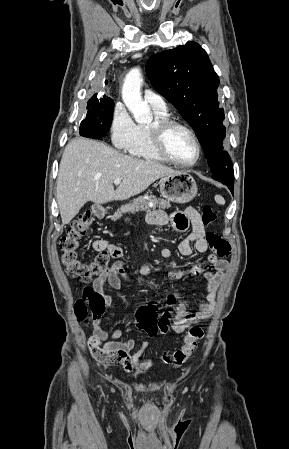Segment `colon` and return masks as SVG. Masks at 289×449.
<instances>
[{"label":"colon","mask_w":289,"mask_h":449,"mask_svg":"<svg viewBox=\"0 0 289 449\" xmlns=\"http://www.w3.org/2000/svg\"><path fill=\"white\" fill-rule=\"evenodd\" d=\"M201 218L205 225H210L216 220V213L209 205L201 209ZM94 219L92 211L82 213L73 220L67 233L60 240L61 259L66 273L80 281H90L109 267L110 255L106 251L98 252L90 261L80 259L78 248L79 240L84 236ZM206 240L212 251L211 256L217 258L228 257L231 253L229 242L215 232H209ZM104 298L87 288L83 297L75 304V314L80 321L89 322L90 318H98L105 310ZM137 327L148 336L158 334L166 335L170 331V315L168 312L160 317L153 306L141 309L137 315ZM204 331L198 326H191L183 339V345L172 354L165 353L164 357L174 366L182 365L196 349L198 342L203 338Z\"/></svg>","instance_id":"1"}]
</instances>
